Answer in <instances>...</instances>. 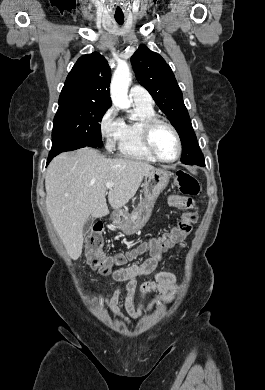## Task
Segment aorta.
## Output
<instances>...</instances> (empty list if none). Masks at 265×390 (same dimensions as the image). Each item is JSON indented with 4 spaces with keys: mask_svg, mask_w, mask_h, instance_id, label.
<instances>
[{
    "mask_svg": "<svg viewBox=\"0 0 265 390\" xmlns=\"http://www.w3.org/2000/svg\"><path fill=\"white\" fill-rule=\"evenodd\" d=\"M131 79L129 66L126 63L118 64L112 77L110 95L114 105L123 110H128L131 106V101L128 98Z\"/></svg>",
    "mask_w": 265,
    "mask_h": 390,
    "instance_id": "obj_1",
    "label": "aorta"
}]
</instances>
